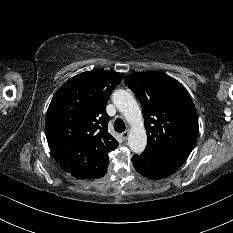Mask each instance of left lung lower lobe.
<instances>
[{
  "label": "left lung lower lobe",
  "mask_w": 233,
  "mask_h": 233,
  "mask_svg": "<svg viewBox=\"0 0 233 233\" xmlns=\"http://www.w3.org/2000/svg\"><path fill=\"white\" fill-rule=\"evenodd\" d=\"M132 163L141 175L150 179H162L178 170L184 162L144 151L140 155H134Z\"/></svg>",
  "instance_id": "0a47b994"
}]
</instances>
